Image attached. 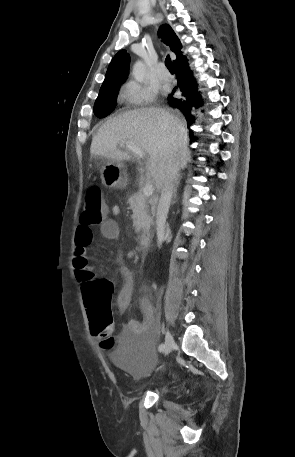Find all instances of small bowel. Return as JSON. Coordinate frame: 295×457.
Listing matches in <instances>:
<instances>
[{"label":"small bowel","mask_w":295,"mask_h":457,"mask_svg":"<svg viewBox=\"0 0 295 457\" xmlns=\"http://www.w3.org/2000/svg\"><path fill=\"white\" fill-rule=\"evenodd\" d=\"M113 215L120 214V207L118 205L111 206ZM100 233L103 238L114 240L117 239L120 233L119 225L116 220L108 218L100 227ZM93 240V233L90 228L79 226L75 236L76 254L83 253ZM119 272L123 278V284L119 289L115 304L119 311L125 312L130 306L133 294V275L128 267L122 265ZM78 278V277H77ZM105 281V280H104ZM107 282V281H106ZM108 283V282H107ZM139 309L142 313V320H131L126 325L125 331L129 335L145 334L146 338H151L152 327L155 321V313L153 306L146 295H142L139 300ZM116 358L117 356H114Z\"/></svg>","instance_id":"1"}]
</instances>
